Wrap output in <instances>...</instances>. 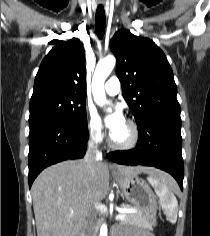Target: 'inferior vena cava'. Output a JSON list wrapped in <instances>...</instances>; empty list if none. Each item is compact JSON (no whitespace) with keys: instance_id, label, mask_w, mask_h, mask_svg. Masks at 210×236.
<instances>
[{"instance_id":"602c4592","label":"inferior vena cava","mask_w":210,"mask_h":236,"mask_svg":"<svg viewBox=\"0 0 210 236\" xmlns=\"http://www.w3.org/2000/svg\"><path fill=\"white\" fill-rule=\"evenodd\" d=\"M100 155L101 154L97 149V142L95 140L90 141L84 158V162L91 171H93ZM88 221L89 224L87 229V236H96V215L94 213H91Z\"/></svg>"}]
</instances>
